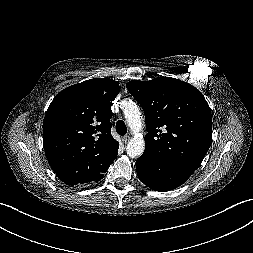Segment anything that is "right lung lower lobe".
<instances>
[{
  "label": "right lung lower lobe",
  "instance_id": "right-lung-lower-lobe-1",
  "mask_svg": "<svg viewBox=\"0 0 253 253\" xmlns=\"http://www.w3.org/2000/svg\"><path fill=\"white\" fill-rule=\"evenodd\" d=\"M103 178V175H101L100 177H98L97 179H95L94 181L92 182H98L99 180H101ZM75 185H78V184H75ZM73 186V185H72Z\"/></svg>",
  "mask_w": 253,
  "mask_h": 253
}]
</instances>
